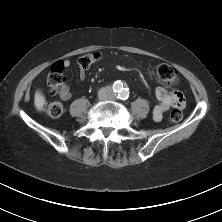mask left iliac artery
<instances>
[{"instance_id": "obj_1", "label": "left iliac artery", "mask_w": 222, "mask_h": 222, "mask_svg": "<svg viewBox=\"0 0 222 222\" xmlns=\"http://www.w3.org/2000/svg\"><path fill=\"white\" fill-rule=\"evenodd\" d=\"M119 98L122 100H126L128 98V94L126 91L120 93Z\"/></svg>"}]
</instances>
